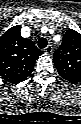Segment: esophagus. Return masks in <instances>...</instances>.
<instances>
[{
	"mask_svg": "<svg viewBox=\"0 0 81 124\" xmlns=\"http://www.w3.org/2000/svg\"><path fill=\"white\" fill-rule=\"evenodd\" d=\"M44 52L46 53V54H52V52H53V47H52V45H48L46 48H45V50H44Z\"/></svg>",
	"mask_w": 81,
	"mask_h": 124,
	"instance_id": "esophagus-1",
	"label": "esophagus"
}]
</instances>
